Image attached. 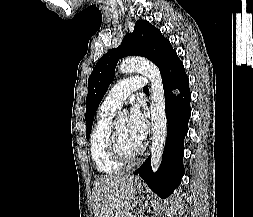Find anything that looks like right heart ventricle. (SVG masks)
<instances>
[{"label": "right heart ventricle", "mask_w": 253, "mask_h": 217, "mask_svg": "<svg viewBox=\"0 0 253 217\" xmlns=\"http://www.w3.org/2000/svg\"><path fill=\"white\" fill-rule=\"evenodd\" d=\"M115 112L100 108L98 119L93 127L90 138V152L92 160L101 173L115 175L121 171L123 165L116 162L108 152V138Z\"/></svg>", "instance_id": "right-heart-ventricle-1"}]
</instances>
